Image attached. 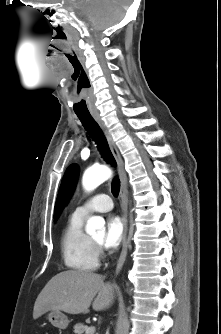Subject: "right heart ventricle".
<instances>
[{
	"label": "right heart ventricle",
	"mask_w": 221,
	"mask_h": 334,
	"mask_svg": "<svg viewBox=\"0 0 221 334\" xmlns=\"http://www.w3.org/2000/svg\"><path fill=\"white\" fill-rule=\"evenodd\" d=\"M84 218L74 214L62 234L61 249L65 265L78 272L94 271L99 266L98 251L83 230Z\"/></svg>",
	"instance_id": "1"
}]
</instances>
